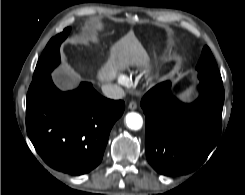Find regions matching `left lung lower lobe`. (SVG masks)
Segmentation results:
<instances>
[{"label": "left lung lower lobe", "mask_w": 245, "mask_h": 195, "mask_svg": "<svg viewBox=\"0 0 245 195\" xmlns=\"http://www.w3.org/2000/svg\"><path fill=\"white\" fill-rule=\"evenodd\" d=\"M169 81L148 91L141 101L146 118L145 148L151 166L167 176L197 169L216 146L222 128L224 88L200 82L191 104L171 93Z\"/></svg>", "instance_id": "obj_1"}]
</instances>
